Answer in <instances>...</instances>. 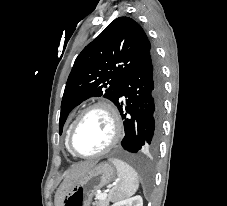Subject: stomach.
Wrapping results in <instances>:
<instances>
[{"label":"stomach","instance_id":"1","mask_svg":"<svg viewBox=\"0 0 227 206\" xmlns=\"http://www.w3.org/2000/svg\"><path fill=\"white\" fill-rule=\"evenodd\" d=\"M115 176L114 167L107 162H102L91 168L73 186L70 193L66 192L62 198V206H89L95 193Z\"/></svg>","mask_w":227,"mask_h":206}]
</instances>
